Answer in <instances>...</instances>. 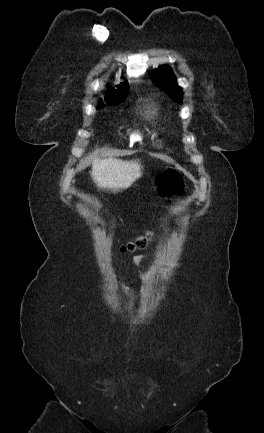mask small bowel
Here are the masks:
<instances>
[{
    "label": "small bowel",
    "mask_w": 264,
    "mask_h": 433,
    "mask_svg": "<svg viewBox=\"0 0 264 433\" xmlns=\"http://www.w3.org/2000/svg\"><path fill=\"white\" fill-rule=\"evenodd\" d=\"M147 255H137L132 258V263L137 267L138 274L142 279H146L149 270L144 262Z\"/></svg>",
    "instance_id": "1"
}]
</instances>
